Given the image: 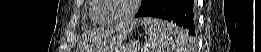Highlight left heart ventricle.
I'll list each match as a JSON object with an SVG mask.
<instances>
[{
	"label": "left heart ventricle",
	"instance_id": "1",
	"mask_svg": "<svg viewBox=\"0 0 261 52\" xmlns=\"http://www.w3.org/2000/svg\"><path fill=\"white\" fill-rule=\"evenodd\" d=\"M105 7L99 12V19L112 21L122 16L129 8V0H103Z\"/></svg>",
	"mask_w": 261,
	"mask_h": 52
}]
</instances>
